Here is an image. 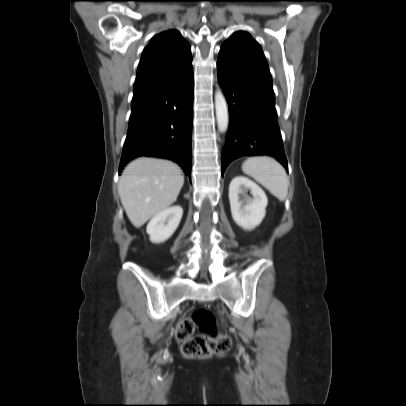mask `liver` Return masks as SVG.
Listing matches in <instances>:
<instances>
[{
	"label": "liver",
	"instance_id": "liver-1",
	"mask_svg": "<svg viewBox=\"0 0 406 406\" xmlns=\"http://www.w3.org/2000/svg\"><path fill=\"white\" fill-rule=\"evenodd\" d=\"M183 184L184 176L177 164L141 157L123 171L118 193L129 220L139 228L173 204Z\"/></svg>",
	"mask_w": 406,
	"mask_h": 406
}]
</instances>
